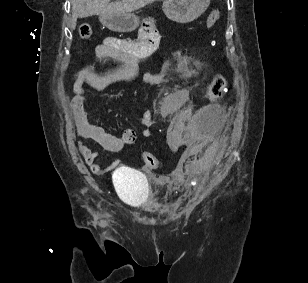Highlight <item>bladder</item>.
<instances>
[{"label":"bladder","instance_id":"obj_1","mask_svg":"<svg viewBox=\"0 0 308 283\" xmlns=\"http://www.w3.org/2000/svg\"><path fill=\"white\" fill-rule=\"evenodd\" d=\"M113 179L117 192L124 201L134 206L146 203L149 187L143 174L121 167L114 172Z\"/></svg>","mask_w":308,"mask_h":283}]
</instances>
